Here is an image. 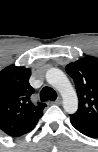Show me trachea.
<instances>
[{
	"label": "trachea",
	"instance_id": "obj_1",
	"mask_svg": "<svg viewBox=\"0 0 98 152\" xmlns=\"http://www.w3.org/2000/svg\"><path fill=\"white\" fill-rule=\"evenodd\" d=\"M57 98V93L54 89L51 87H44L40 92V100L42 102L48 101V100H55Z\"/></svg>",
	"mask_w": 98,
	"mask_h": 152
}]
</instances>
